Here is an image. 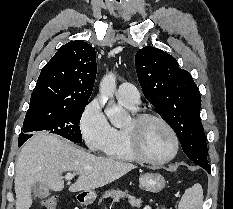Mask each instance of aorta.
Wrapping results in <instances>:
<instances>
[{"label":"aorta","instance_id":"aorta-1","mask_svg":"<svg viewBox=\"0 0 233 209\" xmlns=\"http://www.w3.org/2000/svg\"><path fill=\"white\" fill-rule=\"evenodd\" d=\"M116 90V75L114 73L106 74L100 83V99L102 104H106L109 98H113ZM105 114L109 118L114 127L121 128L125 126L130 116L120 106L116 105L112 100L105 109Z\"/></svg>","mask_w":233,"mask_h":209}]
</instances>
